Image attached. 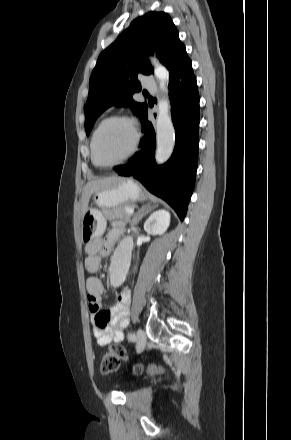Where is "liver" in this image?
Instances as JSON below:
<instances>
[{"mask_svg": "<svg viewBox=\"0 0 291 440\" xmlns=\"http://www.w3.org/2000/svg\"><path fill=\"white\" fill-rule=\"evenodd\" d=\"M120 179L121 178L118 176H113V177H106V178H102V179H97V180L90 181L89 183H87V185L84 189L83 195H82V213H83V215L87 211L89 199L95 191L109 188Z\"/></svg>", "mask_w": 291, "mask_h": 440, "instance_id": "obj_1", "label": "liver"}]
</instances>
